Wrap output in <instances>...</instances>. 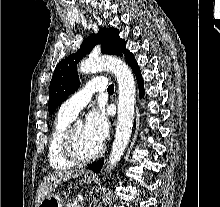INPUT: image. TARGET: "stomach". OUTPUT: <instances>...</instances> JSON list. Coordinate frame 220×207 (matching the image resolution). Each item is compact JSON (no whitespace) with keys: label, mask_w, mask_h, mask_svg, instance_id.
<instances>
[{"label":"stomach","mask_w":220,"mask_h":207,"mask_svg":"<svg viewBox=\"0 0 220 207\" xmlns=\"http://www.w3.org/2000/svg\"><path fill=\"white\" fill-rule=\"evenodd\" d=\"M92 180L93 179L89 176L83 177V182L85 184H90ZM38 207H63V202L56 194H50L41 201Z\"/></svg>","instance_id":"obj_1"}]
</instances>
